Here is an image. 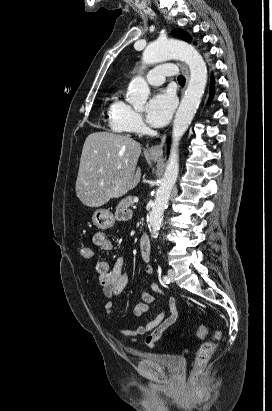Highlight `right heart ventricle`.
Returning <instances> with one entry per match:
<instances>
[{"instance_id": "obj_1", "label": "right heart ventricle", "mask_w": 272, "mask_h": 411, "mask_svg": "<svg viewBox=\"0 0 272 411\" xmlns=\"http://www.w3.org/2000/svg\"><path fill=\"white\" fill-rule=\"evenodd\" d=\"M129 108L130 106L120 99L118 93L112 96L108 106V115L114 131L123 134L130 131L126 122V114Z\"/></svg>"}]
</instances>
